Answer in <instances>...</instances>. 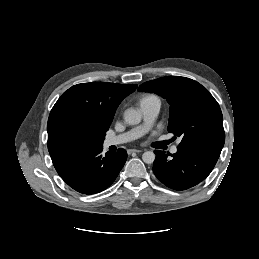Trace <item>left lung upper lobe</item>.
Instances as JSON below:
<instances>
[{
	"instance_id": "left-lung-upper-lobe-1",
	"label": "left lung upper lobe",
	"mask_w": 259,
	"mask_h": 259,
	"mask_svg": "<svg viewBox=\"0 0 259 259\" xmlns=\"http://www.w3.org/2000/svg\"><path fill=\"white\" fill-rule=\"evenodd\" d=\"M138 90L154 92L168 101V131L182 137L179 148L198 144L223 147L221 109L200 83L186 77L168 76L145 82Z\"/></svg>"
}]
</instances>
